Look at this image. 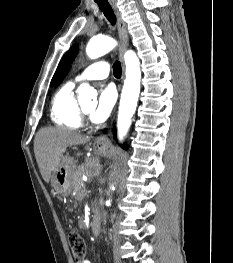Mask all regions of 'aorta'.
Listing matches in <instances>:
<instances>
[{
  "label": "aorta",
  "mask_w": 233,
  "mask_h": 263,
  "mask_svg": "<svg viewBox=\"0 0 233 263\" xmlns=\"http://www.w3.org/2000/svg\"><path fill=\"white\" fill-rule=\"evenodd\" d=\"M116 44V41L110 37H92L87 44L86 53L88 57L95 59L110 52ZM124 60L126 65V78L122 89L117 119L119 140L123 139L130 128L131 119L137 106L141 81L140 61L135 52L131 50L127 51L124 55ZM77 92L79 94L78 100L80 104L94 99L97 95L96 90L87 83L81 84Z\"/></svg>",
  "instance_id": "1"
}]
</instances>
